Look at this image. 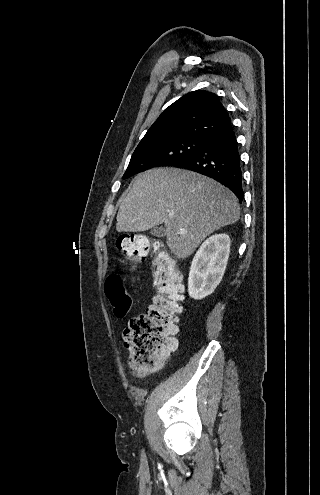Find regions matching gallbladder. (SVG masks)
Here are the masks:
<instances>
[{
	"label": "gallbladder",
	"instance_id": "1",
	"mask_svg": "<svg viewBox=\"0 0 320 495\" xmlns=\"http://www.w3.org/2000/svg\"><path fill=\"white\" fill-rule=\"evenodd\" d=\"M151 234L156 237H163L165 235V230L162 226H156L151 229Z\"/></svg>",
	"mask_w": 320,
	"mask_h": 495
}]
</instances>
